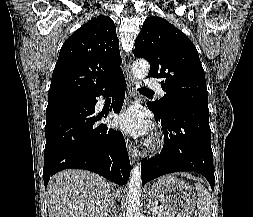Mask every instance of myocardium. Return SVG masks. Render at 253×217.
Instances as JSON below:
<instances>
[{"instance_id": "1", "label": "myocardium", "mask_w": 253, "mask_h": 217, "mask_svg": "<svg viewBox=\"0 0 253 217\" xmlns=\"http://www.w3.org/2000/svg\"><path fill=\"white\" fill-rule=\"evenodd\" d=\"M161 145V140L159 138H156L153 142L154 147H160Z\"/></svg>"}]
</instances>
